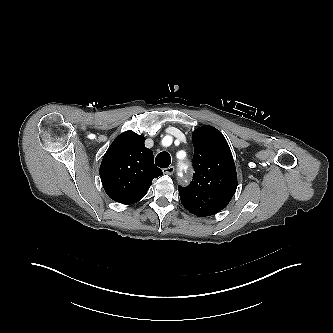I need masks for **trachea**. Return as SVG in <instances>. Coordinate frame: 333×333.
Masks as SVG:
<instances>
[{
  "label": "trachea",
  "instance_id": "3493384b",
  "mask_svg": "<svg viewBox=\"0 0 333 333\" xmlns=\"http://www.w3.org/2000/svg\"><path fill=\"white\" fill-rule=\"evenodd\" d=\"M171 163V157L168 152H160L155 159V164L160 168H167Z\"/></svg>",
  "mask_w": 333,
  "mask_h": 333
}]
</instances>
